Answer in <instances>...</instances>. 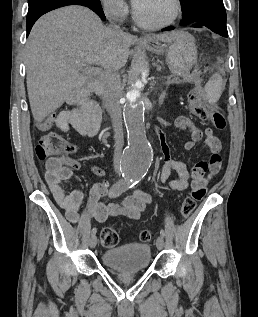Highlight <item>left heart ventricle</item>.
I'll use <instances>...</instances> for the list:
<instances>
[{"label": "left heart ventricle", "instance_id": "1", "mask_svg": "<svg viewBox=\"0 0 258 317\" xmlns=\"http://www.w3.org/2000/svg\"><path fill=\"white\" fill-rule=\"evenodd\" d=\"M174 14V4L169 0H153L139 10L141 23L148 28L157 27L168 21Z\"/></svg>", "mask_w": 258, "mask_h": 317}]
</instances>
